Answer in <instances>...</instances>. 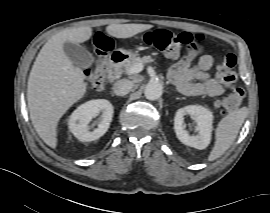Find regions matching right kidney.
Segmentation results:
<instances>
[{
	"label": "right kidney",
	"mask_w": 270,
	"mask_h": 213,
	"mask_svg": "<svg viewBox=\"0 0 270 213\" xmlns=\"http://www.w3.org/2000/svg\"><path fill=\"white\" fill-rule=\"evenodd\" d=\"M100 116L98 127L90 130V122L93 118ZM113 106L105 99H97L88 101L80 105L69 118V129L73 135L80 141L88 142L93 141L103 136L112 121Z\"/></svg>",
	"instance_id": "1"
}]
</instances>
